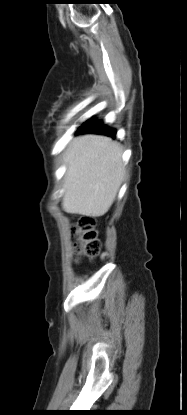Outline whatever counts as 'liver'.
<instances>
[{"label": "liver", "instance_id": "1", "mask_svg": "<svg viewBox=\"0 0 187 415\" xmlns=\"http://www.w3.org/2000/svg\"><path fill=\"white\" fill-rule=\"evenodd\" d=\"M122 153L105 136L83 135L70 142L64 154L65 212L99 217L109 210L125 176Z\"/></svg>", "mask_w": 187, "mask_h": 415}]
</instances>
